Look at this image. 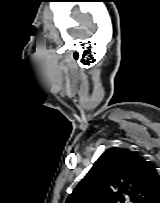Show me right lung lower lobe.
I'll list each match as a JSON object with an SVG mask.
<instances>
[{
    "label": "right lung lower lobe",
    "mask_w": 160,
    "mask_h": 203,
    "mask_svg": "<svg viewBox=\"0 0 160 203\" xmlns=\"http://www.w3.org/2000/svg\"><path fill=\"white\" fill-rule=\"evenodd\" d=\"M151 203H160V195L155 198Z\"/></svg>",
    "instance_id": "obj_1"
}]
</instances>
